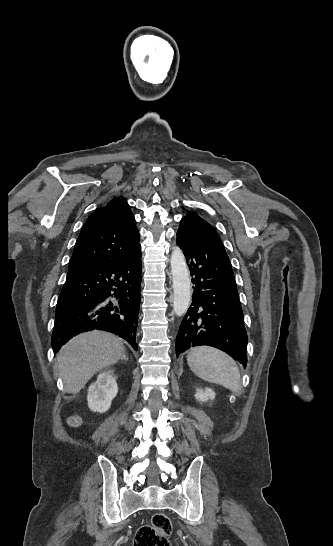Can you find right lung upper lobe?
Masks as SVG:
<instances>
[{
	"mask_svg": "<svg viewBox=\"0 0 333 546\" xmlns=\"http://www.w3.org/2000/svg\"><path fill=\"white\" fill-rule=\"evenodd\" d=\"M135 224L124 198H114L96 209L80 231L68 269L90 268L130 255L140 246Z\"/></svg>",
	"mask_w": 333,
	"mask_h": 546,
	"instance_id": "right-lung-upper-lobe-1",
	"label": "right lung upper lobe"
}]
</instances>
